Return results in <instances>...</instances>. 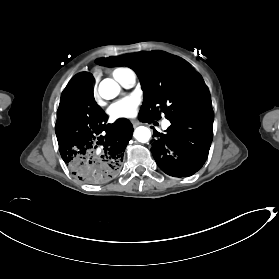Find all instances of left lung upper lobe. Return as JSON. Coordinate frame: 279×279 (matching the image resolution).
<instances>
[{"instance_id":"left-lung-upper-lobe-1","label":"left lung upper lobe","mask_w":279,"mask_h":279,"mask_svg":"<svg viewBox=\"0 0 279 279\" xmlns=\"http://www.w3.org/2000/svg\"><path fill=\"white\" fill-rule=\"evenodd\" d=\"M107 67L133 69L144 90L139 115L158 119L161 112L177 120L212 111L211 97L201 77L181 58L162 51L140 52L95 61Z\"/></svg>"}]
</instances>
